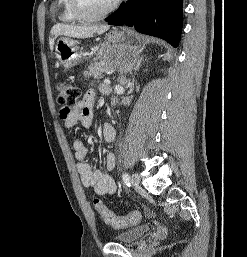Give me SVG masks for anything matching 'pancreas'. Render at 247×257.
I'll list each match as a JSON object with an SVG mask.
<instances>
[{
  "instance_id": "pancreas-1",
  "label": "pancreas",
  "mask_w": 247,
  "mask_h": 257,
  "mask_svg": "<svg viewBox=\"0 0 247 257\" xmlns=\"http://www.w3.org/2000/svg\"><path fill=\"white\" fill-rule=\"evenodd\" d=\"M114 69V65L107 63L105 61H97L94 59V62L91 63L87 70L84 72V76L87 78L101 79L103 78V72Z\"/></svg>"
}]
</instances>
